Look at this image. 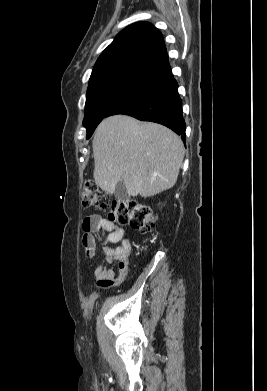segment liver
Segmentation results:
<instances>
[{
    "label": "liver",
    "mask_w": 267,
    "mask_h": 391,
    "mask_svg": "<svg viewBox=\"0 0 267 391\" xmlns=\"http://www.w3.org/2000/svg\"><path fill=\"white\" fill-rule=\"evenodd\" d=\"M92 147L95 182L109 194L119 181L131 196L146 198L168 190L184 158L183 143L170 129L126 115L105 118Z\"/></svg>",
    "instance_id": "liver-1"
}]
</instances>
